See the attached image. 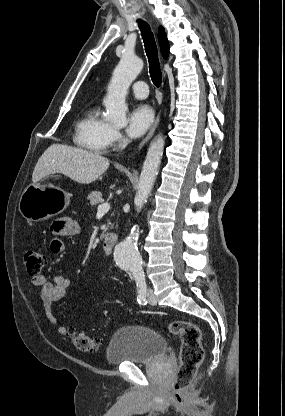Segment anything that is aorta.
<instances>
[{"label":"aorta","mask_w":285,"mask_h":416,"mask_svg":"<svg viewBox=\"0 0 285 416\" xmlns=\"http://www.w3.org/2000/svg\"><path fill=\"white\" fill-rule=\"evenodd\" d=\"M143 68V61L135 55H125L121 58L115 68L107 96L104 100L106 114L105 118L117 125L126 124L127 106L125 103L129 86L136 79ZM164 150V139L159 136L151 142L142 171L139 178L137 193L134 204L137 211H140L150 195ZM139 231L133 226L128 237L120 242L114 250V259L117 265L132 273L134 277L142 276V257L137 248Z\"/></svg>","instance_id":"762f6f07"}]
</instances>
